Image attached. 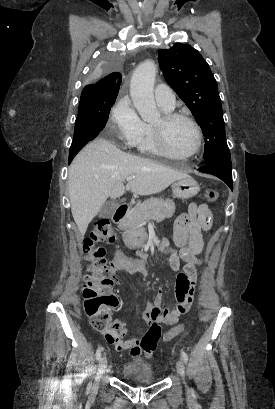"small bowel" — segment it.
<instances>
[{
  "mask_svg": "<svg viewBox=\"0 0 275 409\" xmlns=\"http://www.w3.org/2000/svg\"><path fill=\"white\" fill-rule=\"evenodd\" d=\"M211 225L212 214L206 204L192 203L188 207V212L177 218L174 235L177 249L170 250L169 259L171 269L180 270L175 286L177 304L173 308H160L159 304L165 291V288L160 286L154 298L155 305L147 306L145 310L139 311L144 321L152 323L146 327L147 333H142L141 338L124 337L123 334L127 331L126 326L121 322H116L112 330L103 331L104 341L109 347H114L115 351H132L134 355H141V358L146 360H151L153 355L157 354L161 345L158 335L162 332L160 322L174 325L180 315L190 310L194 302L198 267L201 264L200 254L204 247L202 232L209 231ZM181 259L186 261L183 266H181ZM123 267L124 270L138 273L141 276L146 273L143 259L129 258V263ZM128 267H131V270H128ZM121 282L122 279L117 277L113 284L117 285Z\"/></svg>",
  "mask_w": 275,
  "mask_h": 409,
  "instance_id": "1",
  "label": "small bowel"
}]
</instances>
